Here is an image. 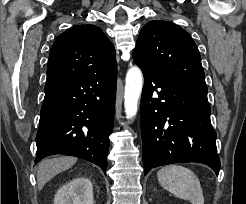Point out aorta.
<instances>
[{
  "label": "aorta",
  "instance_id": "762f6f07",
  "mask_svg": "<svg viewBox=\"0 0 246 204\" xmlns=\"http://www.w3.org/2000/svg\"><path fill=\"white\" fill-rule=\"evenodd\" d=\"M142 87L143 75L140 68L130 67L126 74L124 93V107L128 119H133L137 114Z\"/></svg>",
  "mask_w": 246,
  "mask_h": 204
}]
</instances>
